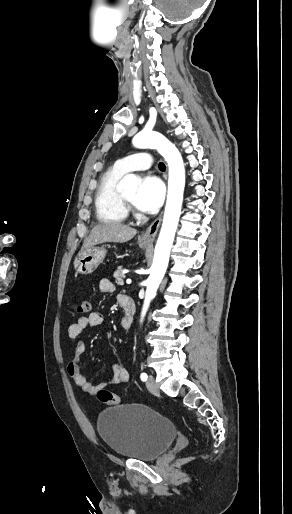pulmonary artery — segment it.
<instances>
[{
	"instance_id": "pulmonary-artery-1",
	"label": "pulmonary artery",
	"mask_w": 292,
	"mask_h": 514,
	"mask_svg": "<svg viewBox=\"0 0 292 514\" xmlns=\"http://www.w3.org/2000/svg\"><path fill=\"white\" fill-rule=\"evenodd\" d=\"M151 152L147 150H137L132 151L130 153V158L132 160L137 161H130L128 163V160L126 158H123L121 161H117L114 164V169L117 172H121L123 174L130 172H148L151 168L150 163L148 160L151 159Z\"/></svg>"
}]
</instances>
